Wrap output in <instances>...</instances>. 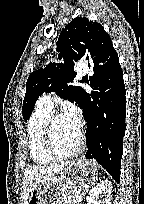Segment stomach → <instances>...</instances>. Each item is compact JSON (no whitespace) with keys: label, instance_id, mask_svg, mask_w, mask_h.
I'll use <instances>...</instances> for the list:
<instances>
[{"label":"stomach","instance_id":"1","mask_svg":"<svg viewBox=\"0 0 144 204\" xmlns=\"http://www.w3.org/2000/svg\"><path fill=\"white\" fill-rule=\"evenodd\" d=\"M97 176V166L85 159L73 161L65 166L58 177L33 189L27 204H59L58 194L71 189L82 191Z\"/></svg>","mask_w":144,"mask_h":204}]
</instances>
